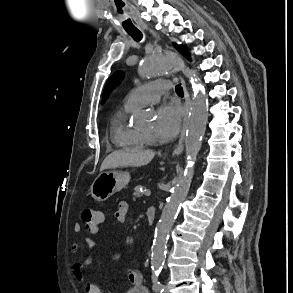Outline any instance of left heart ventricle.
Instances as JSON below:
<instances>
[{
  "mask_svg": "<svg viewBox=\"0 0 293 293\" xmlns=\"http://www.w3.org/2000/svg\"><path fill=\"white\" fill-rule=\"evenodd\" d=\"M151 131H152V129L148 130L147 132H151Z\"/></svg>",
  "mask_w": 293,
  "mask_h": 293,
  "instance_id": "1",
  "label": "left heart ventricle"
}]
</instances>
